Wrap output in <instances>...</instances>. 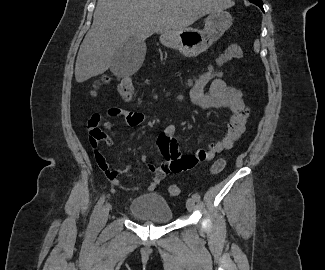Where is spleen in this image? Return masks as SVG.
<instances>
[{
    "label": "spleen",
    "mask_w": 325,
    "mask_h": 270,
    "mask_svg": "<svg viewBox=\"0 0 325 270\" xmlns=\"http://www.w3.org/2000/svg\"><path fill=\"white\" fill-rule=\"evenodd\" d=\"M259 50H260V42H259V40H256V41L254 42V51H255L256 53H258Z\"/></svg>",
    "instance_id": "spleen-1"
}]
</instances>
